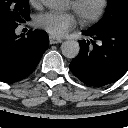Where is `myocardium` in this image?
<instances>
[{"instance_id": "obj_1", "label": "myocardium", "mask_w": 128, "mask_h": 128, "mask_svg": "<svg viewBox=\"0 0 128 128\" xmlns=\"http://www.w3.org/2000/svg\"><path fill=\"white\" fill-rule=\"evenodd\" d=\"M89 0H72L71 6L79 17L81 23L90 25L97 22L108 8L109 0H97L96 7L91 12H86L84 7Z\"/></svg>"}]
</instances>
